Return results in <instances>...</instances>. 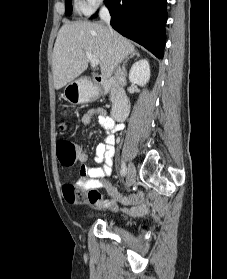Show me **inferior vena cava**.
<instances>
[{
	"label": "inferior vena cava",
	"instance_id": "inferior-vena-cava-1",
	"mask_svg": "<svg viewBox=\"0 0 227 279\" xmlns=\"http://www.w3.org/2000/svg\"><path fill=\"white\" fill-rule=\"evenodd\" d=\"M99 16H100L101 20H103L109 26V29L112 30L110 27L111 16L106 7H102ZM114 75L120 85H122V86L126 85V74H124V72L121 70L120 66L116 68Z\"/></svg>",
	"mask_w": 227,
	"mask_h": 279
}]
</instances>
